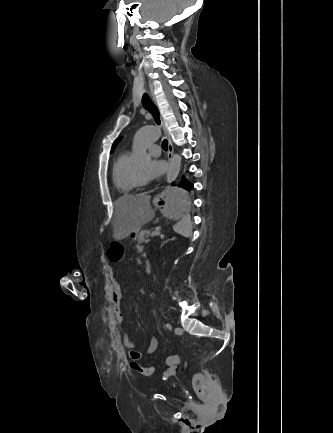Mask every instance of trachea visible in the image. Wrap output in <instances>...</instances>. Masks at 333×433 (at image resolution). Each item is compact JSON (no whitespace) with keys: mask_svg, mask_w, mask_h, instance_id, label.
Segmentation results:
<instances>
[{"mask_svg":"<svg viewBox=\"0 0 333 433\" xmlns=\"http://www.w3.org/2000/svg\"><path fill=\"white\" fill-rule=\"evenodd\" d=\"M142 105L143 107L152 114L155 122L160 125V114L156 105L152 102L150 97L145 93L142 96ZM162 148L167 151L168 149V141L166 139L162 142Z\"/></svg>","mask_w":333,"mask_h":433,"instance_id":"3493384b","label":"trachea"}]
</instances>
